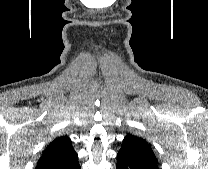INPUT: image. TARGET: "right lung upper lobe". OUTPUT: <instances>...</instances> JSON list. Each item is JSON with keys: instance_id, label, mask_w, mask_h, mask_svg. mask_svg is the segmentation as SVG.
Returning <instances> with one entry per match:
<instances>
[{"instance_id": "1", "label": "right lung upper lobe", "mask_w": 208, "mask_h": 169, "mask_svg": "<svg viewBox=\"0 0 208 169\" xmlns=\"http://www.w3.org/2000/svg\"><path fill=\"white\" fill-rule=\"evenodd\" d=\"M78 159L67 135L56 138L43 151L35 169H61Z\"/></svg>"}]
</instances>
